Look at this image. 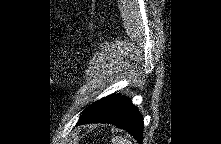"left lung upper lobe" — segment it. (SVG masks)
<instances>
[{
	"label": "left lung upper lobe",
	"mask_w": 221,
	"mask_h": 144,
	"mask_svg": "<svg viewBox=\"0 0 221 144\" xmlns=\"http://www.w3.org/2000/svg\"><path fill=\"white\" fill-rule=\"evenodd\" d=\"M101 101V99L100 100H98V101H96L95 103H93L91 106H88L87 108H86V110L82 113V115H84L86 112H88L90 109H92L98 102H100Z\"/></svg>",
	"instance_id": "obj_1"
}]
</instances>
